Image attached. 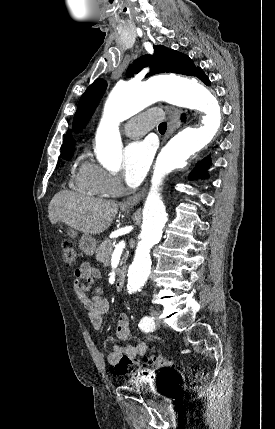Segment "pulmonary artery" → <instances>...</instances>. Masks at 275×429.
Wrapping results in <instances>:
<instances>
[{
    "instance_id": "obj_1",
    "label": "pulmonary artery",
    "mask_w": 275,
    "mask_h": 429,
    "mask_svg": "<svg viewBox=\"0 0 275 429\" xmlns=\"http://www.w3.org/2000/svg\"><path fill=\"white\" fill-rule=\"evenodd\" d=\"M162 118L159 110L151 109L132 118L125 126L124 132L129 138H138L146 134Z\"/></svg>"
}]
</instances>
